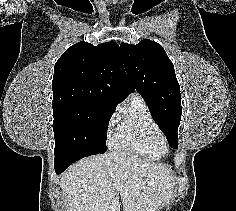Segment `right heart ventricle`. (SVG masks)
I'll list each match as a JSON object with an SVG mask.
<instances>
[{
    "instance_id": "right-heart-ventricle-1",
    "label": "right heart ventricle",
    "mask_w": 236,
    "mask_h": 211,
    "mask_svg": "<svg viewBox=\"0 0 236 211\" xmlns=\"http://www.w3.org/2000/svg\"><path fill=\"white\" fill-rule=\"evenodd\" d=\"M159 134L161 130L148 105L141 96L133 94L114 121L110 146L148 160H159L161 154L151 144Z\"/></svg>"
}]
</instances>
